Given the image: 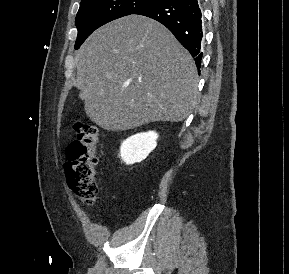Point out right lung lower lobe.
Masks as SVG:
<instances>
[{"mask_svg": "<svg viewBox=\"0 0 289 274\" xmlns=\"http://www.w3.org/2000/svg\"><path fill=\"white\" fill-rule=\"evenodd\" d=\"M134 14L147 16L165 25L191 53L197 68H200L203 31L198 0H157Z\"/></svg>", "mask_w": 289, "mask_h": 274, "instance_id": "98d812e1", "label": "right lung lower lobe"}]
</instances>
